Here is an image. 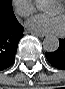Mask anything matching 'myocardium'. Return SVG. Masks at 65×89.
I'll use <instances>...</instances> for the list:
<instances>
[{
  "instance_id": "f54148a6",
  "label": "myocardium",
  "mask_w": 65,
  "mask_h": 89,
  "mask_svg": "<svg viewBox=\"0 0 65 89\" xmlns=\"http://www.w3.org/2000/svg\"><path fill=\"white\" fill-rule=\"evenodd\" d=\"M62 12L65 13V5L61 4Z\"/></svg>"
}]
</instances>
